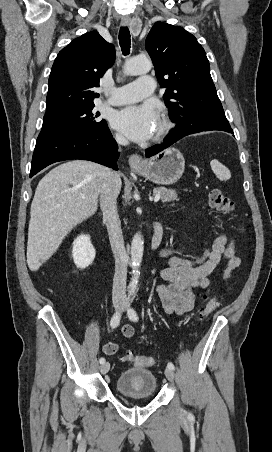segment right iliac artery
<instances>
[{
  "label": "right iliac artery",
  "instance_id": "right-iliac-artery-1",
  "mask_svg": "<svg viewBox=\"0 0 272 452\" xmlns=\"http://www.w3.org/2000/svg\"><path fill=\"white\" fill-rule=\"evenodd\" d=\"M120 319H121V312L118 311V312H116V313L113 315V317L111 318L110 326H111L112 328H116V327L119 325V323H120ZM99 362H100V364H103V363H105V359H104L103 357H101V358L99 359Z\"/></svg>",
  "mask_w": 272,
  "mask_h": 452
}]
</instances>
